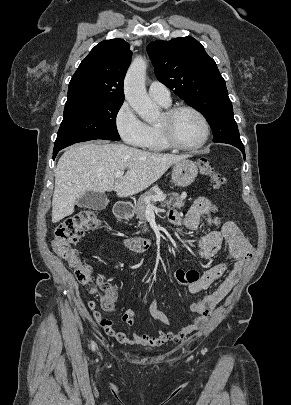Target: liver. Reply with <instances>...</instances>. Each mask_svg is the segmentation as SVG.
Here are the masks:
<instances>
[{
	"mask_svg": "<svg viewBox=\"0 0 291 405\" xmlns=\"http://www.w3.org/2000/svg\"><path fill=\"white\" fill-rule=\"evenodd\" d=\"M186 155L147 152L124 144L85 143L69 148L55 170L52 222L74 212V205L87 191H115L127 197L147 189L173 164ZM127 169L125 176L115 178Z\"/></svg>",
	"mask_w": 291,
	"mask_h": 405,
	"instance_id": "6515ba94",
	"label": "liver"
}]
</instances>
